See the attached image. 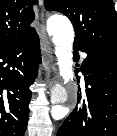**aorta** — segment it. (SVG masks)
<instances>
[{"mask_svg":"<svg viewBox=\"0 0 117 136\" xmlns=\"http://www.w3.org/2000/svg\"><path fill=\"white\" fill-rule=\"evenodd\" d=\"M47 31L52 37L55 45V55L59 73L64 84L73 81L74 72L72 68V45L74 41V30L71 22L64 16H52L47 21ZM68 100V93L62 86H56L51 93V102L61 110L59 117L62 116L63 106Z\"/></svg>","mask_w":117,"mask_h":136,"instance_id":"aorta-1","label":"aorta"}]
</instances>
